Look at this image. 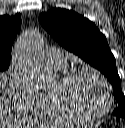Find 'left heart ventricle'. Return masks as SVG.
<instances>
[{
    "label": "left heart ventricle",
    "instance_id": "obj_1",
    "mask_svg": "<svg viewBox=\"0 0 125 128\" xmlns=\"http://www.w3.org/2000/svg\"><path fill=\"white\" fill-rule=\"evenodd\" d=\"M69 97L75 107L84 114H96L106 104L101 81L89 72L79 73L69 88Z\"/></svg>",
    "mask_w": 125,
    "mask_h": 128
}]
</instances>
